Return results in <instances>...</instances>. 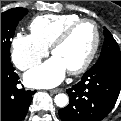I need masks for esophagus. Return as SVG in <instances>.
I'll list each match as a JSON object with an SVG mask.
<instances>
[{"label":"esophagus","mask_w":121,"mask_h":121,"mask_svg":"<svg viewBox=\"0 0 121 121\" xmlns=\"http://www.w3.org/2000/svg\"><path fill=\"white\" fill-rule=\"evenodd\" d=\"M60 91H61V89L57 88V89H52V90H50L49 92H50L51 94H56V93H58V92H60Z\"/></svg>","instance_id":"obj_1"}]
</instances>
